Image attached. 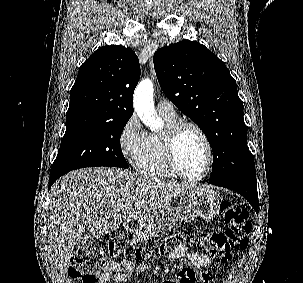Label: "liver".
Segmentation results:
<instances>
[{"label":"liver","mask_w":303,"mask_h":283,"mask_svg":"<svg viewBox=\"0 0 303 283\" xmlns=\"http://www.w3.org/2000/svg\"><path fill=\"white\" fill-rule=\"evenodd\" d=\"M198 188L119 168H84L66 174L49 194L50 244L60 275L66 274L81 236L98 237L118 229L124 220L161 213L172 200Z\"/></svg>","instance_id":"liver-1"}]
</instances>
